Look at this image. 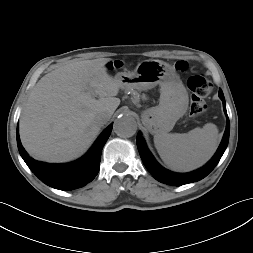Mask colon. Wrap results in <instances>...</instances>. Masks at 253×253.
Instances as JSON below:
<instances>
[{"label": "colon", "mask_w": 253, "mask_h": 253, "mask_svg": "<svg viewBox=\"0 0 253 253\" xmlns=\"http://www.w3.org/2000/svg\"><path fill=\"white\" fill-rule=\"evenodd\" d=\"M177 70L185 71L187 69V63L185 61H179L175 64ZM188 87L192 93L190 104V115L192 117H199L206 112L207 105L205 98L210 94L212 90L211 82L203 75H194L188 80Z\"/></svg>", "instance_id": "1"}]
</instances>
